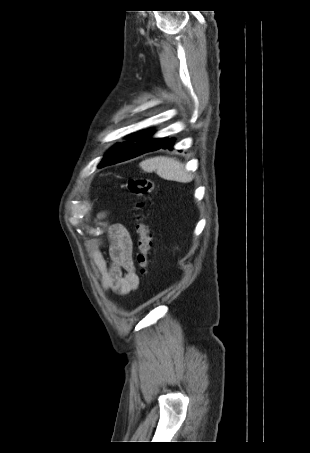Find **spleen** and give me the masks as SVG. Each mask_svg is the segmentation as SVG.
Here are the masks:
<instances>
[{
	"label": "spleen",
	"instance_id": "obj_1",
	"mask_svg": "<svg viewBox=\"0 0 310 453\" xmlns=\"http://www.w3.org/2000/svg\"><path fill=\"white\" fill-rule=\"evenodd\" d=\"M140 167L145 172L156 171L158 176L165 180L190 182L193 175L187 172L184 165L175 158L158 156L141 162Z\"/></svg>",
	"mask_w": 310,
	"mask_h": 453
}]
</instances>
